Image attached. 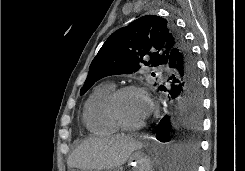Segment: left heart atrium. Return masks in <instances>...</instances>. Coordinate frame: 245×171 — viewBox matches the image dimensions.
<instances>
[{"label": "left heart atrium", "mask_w": 245, "mask_h": 171, "mask_svg": "<svg viewBox=\"0 0 245 171\" xmlns=\"http://www.w3.org/2000/svg\"><path fill=\"white\" fill-rule=\"evenodd\" d=\"M148 112H149V106L147 105L146 115L148 114Z\"/></svg>", "instance_id": "39dd6f15"}]
</instances>
